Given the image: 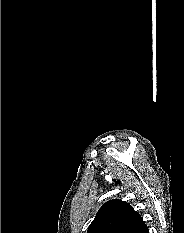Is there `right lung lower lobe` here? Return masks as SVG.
Instances as JSON below:
<instances>
[{
	"label": "right lung lower lobe",
	"mask_w": 184,
	"mask_h": 233,
	"mask_svg": "<svg viewBox=\"0 0 184 233\" xmlns=\"http://www.w3.org/2000/svg\"><path fill=\"white\" fill-rule=\"evenodd\" d=\"M136 233H149L146 224H144Z\"/></svg>",
	"instance_id": "1"
}]
</instances>
